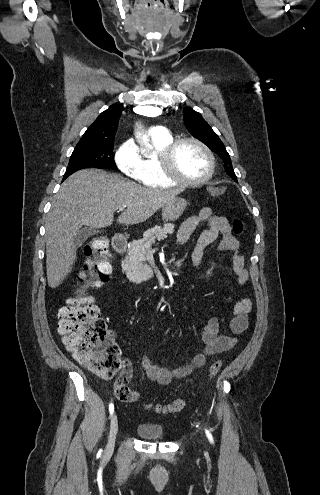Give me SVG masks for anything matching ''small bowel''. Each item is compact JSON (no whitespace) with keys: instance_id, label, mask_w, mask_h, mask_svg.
Here are the masks:
<instances>
[{"instance_id":"obj_1","label":"small bowel","mask_w":320,"mask_h":495,"mask_svg":"<svg viewBox=\"0 0 320 495\" xmlns=\"http://www.w3.org/2000/svg\"><path fill=\"white\" fill-rule=\"evenodd\" d=\"M201 224H206L207 228L201 233L192 252L191 261L193 266L195 268L199 267L206 247L219 239L218 250L232 253V270L237 284L245 287L248 282V272L245 268L244 257L240 252V241L233 234L227 218L214 214L210 208L202 209L198 214L190 216L181 224L177 234L179 244H185ZM251 307V298L245 292L233 307V318L230 321L231 334H220L219 318H210L201 333L202 352L193 356L188 363L182 366L174 368L159 366L154 363L150 356H143L141 367L146 376L161 385H167L174 379L189 376L215 355L234 348L237 343L235 335L241 334L247 328L248 313ZM170 333L171 330L167 329L165 335L169 336ZM121 373L130 380L131 368L129 364L124 365Z\"/></svg>"}]
</instances>
